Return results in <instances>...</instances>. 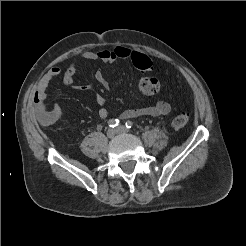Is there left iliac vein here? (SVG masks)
<instances>
[{
	"label": "left iliac vein",
	"mask_w": 246,
	"mask_h": 246,
	"mask_svg": "<svg viewBox=\"0 0 246 246\" xmlns=\"http://www.w3.org/2000/svg\"><path fill=\"white\" fill-rule=\"evenodd\" d=\"M115 130L119 134L128 133L129 132L128 129L126 127H124V126H119Z\"/></svg>",
	"instance_id": "obj_1"
}]
</instances>
